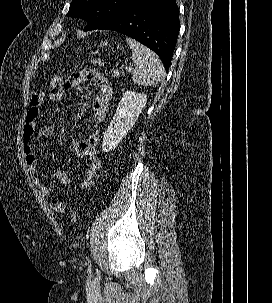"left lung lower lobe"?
<instances>
[{"label": "left lung lower lobe", "mask_w": 272, "mask_h": 303, "mask_svg": "<svg viewBox=\"0 0 272 303\" xmlns=\"http://www.w3.org/2000/svg\"><path fill=\"white\" fill-rule=\"evenodd\" d=\"M96 29L136 39L157 53L168 70L180 29L179 9L176 0H139Z\"/></svg>", "instance_id": "1"}]
</instances>
